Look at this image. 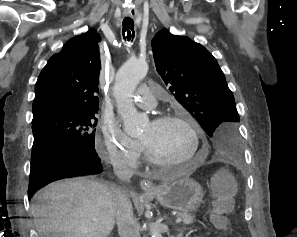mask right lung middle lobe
Instances as JSON below:
<instances>
[{"label": "right lung middle lobe", "instance_id": "right-lung-middle-lobe-1", "mask_svg": "<svg viewBox=\"0 0 297 237\" xmlns=\"http://www.w3.org/2000/svg\"><path fill=\"white\" fill-rule=\"evenodd\" d=\"M96 112H58L32 122L34 143L32 151L53 142H69L94 150Z\"/></svg>", "mask_w": 297, "mask_h": 237}]
</instances>
